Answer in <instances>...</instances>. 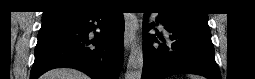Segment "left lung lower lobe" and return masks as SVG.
<instances>
[{
    "mask_svg": "<svg viewBox=\"0 0 255 79\" xmlns=\"http://www.w3.org/2000/svg\"><path fill=\"white\" fill-rule=\"evenodd\" d=\"M156 24L161 22L170 33V44H156L155 35L148 31L155 25L143 20L144 65L141 79H165L182 73L198 74L208 79H220L214 59V47L207 21L181 18L158 10ZM149 13H145L148 16ZM157 37L165 43L162 35Z\"/></svg>",
    "mask_w": 255,
    "mask_h": 79,
    "instance_id": "left-lung-lower-lobe-1",
    "label": "left lung lower lobe"
}]
</instances>
